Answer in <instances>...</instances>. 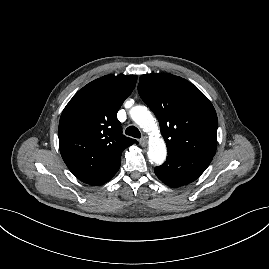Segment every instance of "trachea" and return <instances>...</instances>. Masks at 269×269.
<instances>
[{"label":"trachea","mask_w":269,"mask_h":269,"mask_svg":"<svg viewBox=\"0 0 269 269\" xmlns=\"http://www.w3.org/2000/svg\"><path fill=\"white\" fill-rule=\"evenodd\" d=\"M125 134L134 138H140L141 137V133L139 131V129L135 126H129L126 130H125Z\"/></svg>","instance_id":"trachea-1"}]
</instances>
